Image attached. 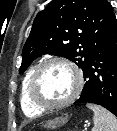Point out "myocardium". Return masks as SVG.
Wrapping results in <instances>:
<instances>
[{
	"label": "myocardium",
	"instance_id": "myocardium-1",
	"mask_svg": "<svg viewBox=\"0 0 117 131\" xmlns=\"http://www.w3.org/2000/svg\"><path fill=\"white\" fill-rule=\"evenodd\" d=\"M50 65H63L67 68H69L75 75L76 79V85L75 89L72 92V94L66 98L65 100L58 102V103H47L38 98L35 92V86L37 82V78L40 74V72L47 66ZM84 84V79H83V74L82 71L79 69L77 65H75L73 62L66 60V59H61V58H54V59H48L40 64H38L34 69L31 74V77L29 79V84H28V94L30 97L31 102L39 109L41 110H55V109H60L63 108L69 104H71L81 93L82 88Z\"/></svg>",
	"mask_w": 117,
	"mask_h": 131
}]
</instances>
